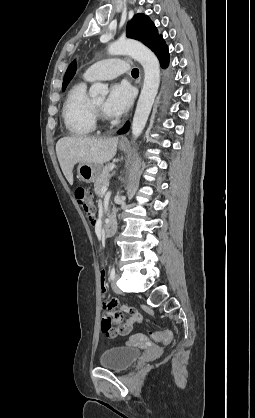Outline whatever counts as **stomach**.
<instances>
[{
    "label": "stomach",
    "instance_id": "stomach-1",
    "mask_svg": "<svg viewBox=\"0 0 255 418\" xmlns=\"http://www.w3.org/2000/svg\"><path fill=\"white\" fill-rule=\"evenodd\" d=\"M120 149L125 150L126 145L120 143ZM103 165L95 163H79L77 168L78 178L86 183L94 182L101 174Z\"/></svg>",
    "mask_w": 255,
    "mask_h": 418
}]
</instances>
